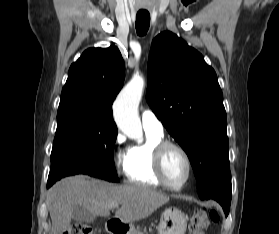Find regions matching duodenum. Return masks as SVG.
Instances as JSON below:
<instances>
[{
	"mask_svg": "<svg viewBox=\"0 0 279 234\" xmlns=\"http://www.w3.org/2000/svg\"><path fill=\"white\" fill-rule=\"evenodd\" d=\"M107 228L111 234H122L123 227L120 221L115 219H110L107 223Z\"/></svg>",
	"mask_w": 279,
	"mask_h": 234,
	"instance_id": "obj_1",
	"label": "duodenum"
}]
</instances>
